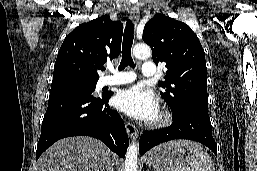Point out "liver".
I'll use <instances>...</instances> for the list:
<instances>
[{
  "label": "liver",
  "mask_w": 257,
  "mask_h": 171,
  "mask_svg": "<svg viewBox=\"0 0 257 171\" xmlns=\"http://www.w3.org/2000/svg\"><path fill=\"white\" fill-rule=\"evenodd\" d=\"M111 152L99 140L67 137L48 148L37 162L38 171H106Z\"/></svg>",
  "instance_id": "obj_1"
}]
</instances>
